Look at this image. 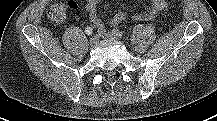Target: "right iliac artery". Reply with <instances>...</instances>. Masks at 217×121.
<instances>
[{
  "instance_id": "82829eb1",
  "label": "right iliac artery",
  "mask_w": 217,
  "mask_h": 121,
  "mask_svg": "<svg viewBox=\"0 0 217 121\" xmlns=\"http://www.w3.org/2000/svg\"><path fill=\"white\" fill-rule=\"evenodd\" d=\"M104 33H105V29H104V28L98 30V35H99V36H101V35L104 34Z\"/></svg>"
}]
</instances>
